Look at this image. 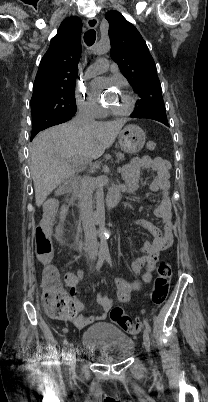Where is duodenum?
I'll use <instances>...</instances> for the list:
<instances>
[{
	"label": "duodenum",
	"mask_w": 208,
	"mask_h": 402,
	"mask_svg": "<svg viewBox=\"0 0 208 402\" xmlns=\"http://www.w3.org/2000/svg\"><path fill=\"white\" fill-rule=\"evenodd\" d=\"M71 191L76 196L79 197V179L73 178L70 182ZM125 191L123 186H115L110 191L106 198V205L108 207H114L120 200L122 193Z\"/></svg>",
	"instance_id": "410a0bca"
}]
</instances>
